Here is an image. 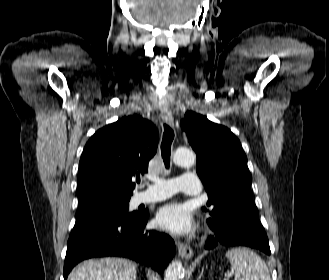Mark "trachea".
<instances>
[{
  "mask_svg": "<svg viewBox=\"0 0 329 280\" xmlns=\"http://www.w3.org/2000/svg\"><path fill=\"white\" fill-rule=\"evenodd\" d=\"M174 139V132L168 125H164L163 139L161 143V154L165 164V167L168 169L170 165V156H171V145ZM140 179L138 180V183Z\"/></svg>",
  "mask_w": 329,
  "mask_h": 280,
  "instance_id": "trachea-1",
  "label": "trachea"
}]
</instances>
